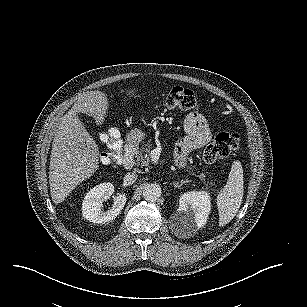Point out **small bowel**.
Returning <instances> with one entry per match:
<instances>
[{"label":"small bowel","mask_w":307,"mask_h":307,"mask_svg":"<svg viewBox=\"0 0 307 307\" xmlns=\"http://www.w3.org/2000/svg\"><path fill=\"white\" fill-rule=\"evenodd\" d=\"M184 129L188 136L176 145L175 159L183 165L188 155L205 146L211 139V133L204 116L200 113H190L184 122Z\"/></svg>","instance_id":"obj_1"}]
</instances>
